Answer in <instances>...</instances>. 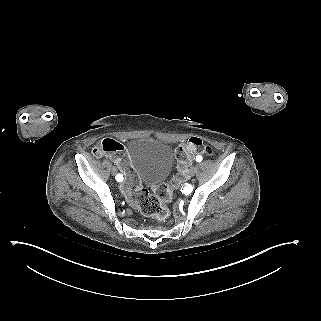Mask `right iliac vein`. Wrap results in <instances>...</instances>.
<instances>
[{"label":"right iliac vein","instance_id":"63e3f726","mask_svg":"<svg viewBox=\"0 0 321 321\" xmlns=\"http://www.w3.org/2000/svg\"><path fill=\"white\" fill-rule=\"evenodd\" d=\"M116 173H117L116 168L112 167V169H111V174H112V175H116Z\"/></svg>","mask_w":321,"mask_h":321}]
</instances>
